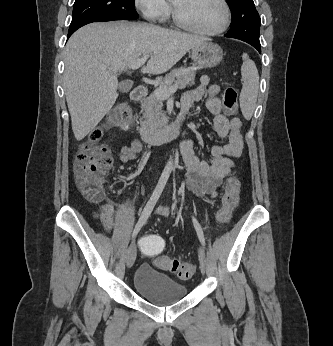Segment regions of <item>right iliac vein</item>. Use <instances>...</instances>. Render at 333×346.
<instances>
[{
    "label": "right iliac vein",
    "mask_w": 333,
    "mask_h": 346,
    "mask_svg": "<svg viewBox=\"0 0 333 346\" xmlns=\"http://www.w3.org/2000/svg\"><path fill=\"white\" fill-rule=\"evenodd\" d=\"M136 255H137V249H136V244L133 241L130 246L128 247V250L126 252V265L127 267H132L136 260Z\"/></svg>",
    "instance_id": "obj_1"
}]
</instances>
